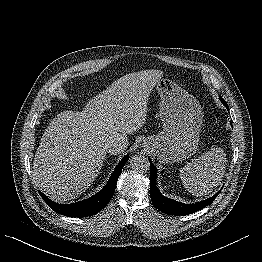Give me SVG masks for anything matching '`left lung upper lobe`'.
<instances>
[{"instance_id":"1","label":"left lung upper lobe","mask_w":262,"mask_h":262,"mask_svg":"<svg viewBox=\"0 0 262 262\" xmlns=\"http://www.w3.org/2000/svg\"><path fill=\"white\" fill-rule=\"evenodd\" d=\"M220 100H221V102L223 103V104H225L226 102L224 101V99L223 98H221L220 97ZM227 104V103H226Z\"/></svg>"}]
</instances>
